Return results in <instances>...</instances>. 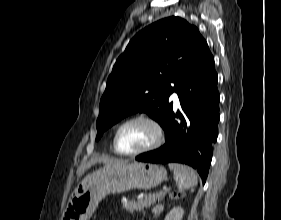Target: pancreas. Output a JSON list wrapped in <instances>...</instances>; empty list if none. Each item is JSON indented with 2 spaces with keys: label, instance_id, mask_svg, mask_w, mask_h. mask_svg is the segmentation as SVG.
<instances>
[{
  "label": "pancreas",
  "instance_id": "cf45deb5",
  "mask_svg": "<svg viewBox=\"0 0 281 220\" xmlns=\"http://www.w3.org/2000/svg\"><path fill=\"white\" fill-rule=\"evenodd\" d=\"M165 196V192L150 193L143 197H138L136 200L125 201L122 199V207L126 211L132 213L134 211H141L144 208L154 205L156 201H161Z\"/></svg>",
  "mask_w": 281,
  "mask_h": 220
}]
</instances>
